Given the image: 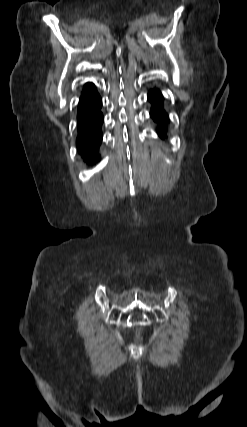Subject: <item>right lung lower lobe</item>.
Listing matches in <instances>:
<instances>
[{
  "mask_svg": "<svg viewBox=\"0 0 247 427\" xmlns=\"http://www.w3.org/2000/svg\"><path fill=\"white\" fill-rule=\"evenodd\" d=\"M101 106L102 99L95 86L92 83H86L78 105L76 146L83 160L89 164L100 160L98 150L102 141L101 125L103 123Z\"/></svg>",
  "mask_w": 247,
  "mask_h": 427,
  "instance_id": "obj_1",
  "label": "right lung lower lobe"
}]
</instances>
